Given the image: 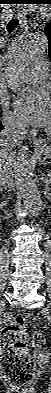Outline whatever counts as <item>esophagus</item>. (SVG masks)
<instances>
[{
	"label": "esophagus",
	"instance_id": "esophagus-1",
	"mask_svg": "<svg viewBox=\"0 0 51 393\" xmlns=\"http://www.w3.org/2000/svg\"><path fill=\"white\" fill-rule=\"evenodd\" d=\"M42 145V140L40 139H34V148L35 150H37L38 148H40Z\"/></svg>",
	"mask_w": 51,
	"mask_h": 393
}]
</instances>
